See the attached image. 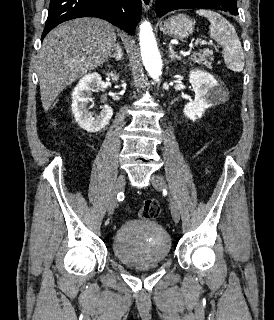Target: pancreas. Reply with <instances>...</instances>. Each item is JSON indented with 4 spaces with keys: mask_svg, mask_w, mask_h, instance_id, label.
Wrapping results in <instances>:
<instances>
[{
    "mask_svg": "<svg viewBox=\"0 0 274 320\" xmlns=\"http://www.w3.org/2000/svg\"><path fill=\"white\" fill-rule=\"evenodd\" d=\"M211 56H213L212 50H201V52H195L190 60L191 62H195V64H204V66H207V68L211 70V64L213 62Z\"/></svg>",
    "mask_w": 274,
    "mask_h": 320,
    "instance_id": "1",
    "label": "pancreas"
}]
</instances>
